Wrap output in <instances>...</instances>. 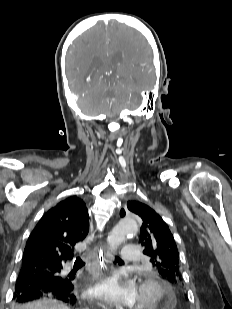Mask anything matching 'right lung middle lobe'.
Returning a JSON list of instances; mask_svg holds the SVG:
<instances>
[{"instance_id":"dd1d6c3e","label":"right lung middle lobe","mask_w":232,"mask_h":309,"mask_svg":"<svg viewBox=\"0 0 232 309\" xmlns=\"http://www.w3.org/2000/svg\"><path fill=\"white\" fill-rule=\"evenodd\" d=\"M19 277H23L25 279H28L29 281L37 280V281H43V282H47V283H51V282H53L54 280H56L58 278L56 272L46 273L39 280H38V277L33 275V274H22V273H20Z\"/></svg>"}]
</instances>
